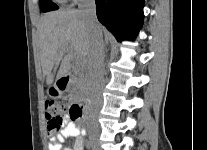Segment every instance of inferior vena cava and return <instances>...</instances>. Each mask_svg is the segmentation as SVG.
Wrapping results in <instances>:
<instances>
[{
  "label": "inferior vena cava",
  "instance_id": "inferior-vena-cava-1",
  "mask_svg": "<svg viewBox=\"0 0 207 150\" xmlns=\"http://www.w3.org/2000/svg\"><path fill=\"white\" fill-rule=\"evenodd\" d=\"M78 8L92 32L91 45L88 54V72L91 93L94 101L99 105L102 102V89L105 80L103 69V38L96 17L95 1L78 0Z\"/></svg>",
  "mask_w": 207,
  "mask_h": 150
}]
</instances>
